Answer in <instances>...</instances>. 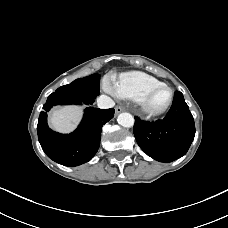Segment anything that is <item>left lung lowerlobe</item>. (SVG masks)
<instances>
[{
	"label": "left lung lower lobe",
	"mask_w": 228,
	"mask_h": 228,
	"mask_svg": "<svg viewBox=\"0 0 228 228\" xmlns=\"http://www.w3.org/2000/svg\"><path fill=\"white\" fill-rule=\"evenodd\" d=\"M133 132L140 148L160 162L174 161L188 151L194 136V119L183 94L174 93L173 104L167 116L156 122L135 117Z\"/></svg>",
	"instance_id": "obj_1"
}]
</instances>
